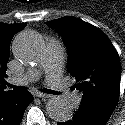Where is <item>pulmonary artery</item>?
<instances>
[{
    "label": "pulmonary artery",
    "mask_w": 125,
    "mask_h": 125,
    "mask_svg": "<svg viewBox=\"0 0 125 125\" xmlns=\"http://www.w3.org/2000/svg\"><path fill=\"white\" fill-rule=\"evenodd\" d=\"M40 69L34 68L29 70L21 77H14L10 79L11 84H25L27 82L35 81L39 78L41 70L46 73V80L49 86L59 91L64 97L73 101L77 100L76 94H70L67 91L66 84L61 78L62 64H63V48L57 41H50L44 52L39 57Z\"/></svg>",
    "instance_id": "obj_1"
}]
</instances>
